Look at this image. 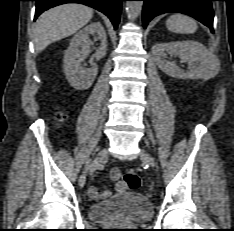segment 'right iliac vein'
Masks as SVG:
<instances>
[{
	"instance_id": "right-iliac-vein-1",
	"label": "right iliac vein",
	"mask_w": 234,
	"mask_h": 231,
	"mask_svg": "<svg viewBox=\"0 0 234 231\" xmlns=\"http://www.w3.org/2000/svg\"><path fill=\"white\" fill-rule=\"evenodd\" d=\"M107 156H108V150L104 148L97 154L94 160L89 159L86 161L85 171L80 176L78 181L80 187H83L85 185L87 171L91 168H98V166L107 158Z\"/></svg>"
}]
</instances>
